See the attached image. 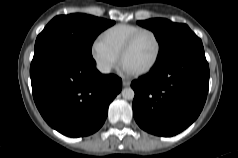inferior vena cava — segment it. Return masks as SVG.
Here are the masks:
<instances>
[{
    "instance_id": "obj_1",
    "label": "inferior vena cava",
    "mask_w": 238,
    "mask_h": 158,
    "mask_svg": "<svg viewBox=\"0 0 238 158\" xmlns=\"http://www.w3.org/2000/svg\"><path fill=\"white\" fill-rule=\"evenodd\" d=\"M97 69L101 72V73H110L111 71V66L109 64L103 63V62H99L97 64Z\"/></svg>"
}]
</instances>
